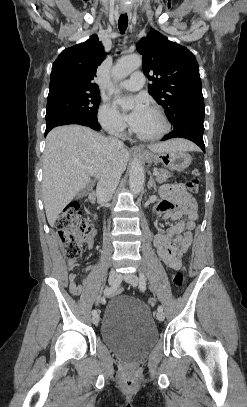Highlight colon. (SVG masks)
Instances as JSON below:
<instances>
[{
    "instance_id": "5ec220e1",
    "label": "colon",
    "mask_w": 247,
    "mask_h": 407,
    "mask_svg": "<svg viewBox=\"0 0 247 407\" xmlns=\"http://www.w3.org/2000/svg\"><path fill=\"white\" fill-rule=\"evenodd\" d=\"M186 189L190 193H197L199 190L198 171L193 170L192 176L185 183ZM62 246L71 258H78L81 255V244L89 239L93 233L91 224L83 218L80 204L77 201L69 203L60 213L56 221ZM172 281L176 287H181L184 283L183 275L180 271L174 273ZM154 297L149 298L151 306L156 304Z\"/></svg>"
}]
</instances>
